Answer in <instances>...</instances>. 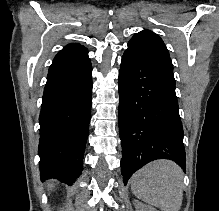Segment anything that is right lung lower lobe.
Here are the masks:
<instances>
[{
  "mask_svg": "<svg viewBox=\"0 0 219 211\" xmlns=\"http://www.w3.org/2000/svg\"><path fill=\"white\" fill-rule=\"evenodd\" d=\"M91 102L90 59L53 61L39 118L42 180L54 178L71 185L81 174Z\"/></svg>",
  "mask_w": 219,
  "mask_h": 211,
  "instance_id": "98d812e1",
  "label": "right lung lower lobe"
}]
</instances>
